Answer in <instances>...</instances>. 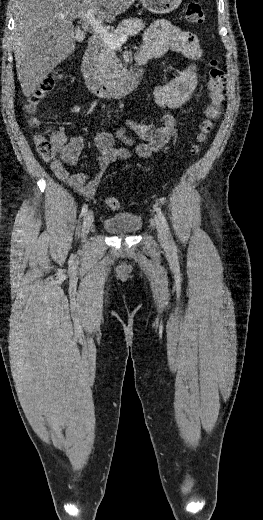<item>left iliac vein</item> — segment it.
I'll return each instance as SVG.
<instances>
[{
	"mask_svg": "<svg viewBox=\"0 0 263 520\" xmlns=\"http://www.w3.org/2000/svg\"><path fill=\"white\" fill-rule=\"evenodd\" d=\"M154 221H155V226H156V229H157V234H158V238H159L160 243L162 245H164V246L169 245L168 235H167V232H166L163 224L161 223V221L157 217L154 218Z\"/></svg>",
	"mask_w": 263,
	"mask_h": 520,
	"instance_id": "1",
	"label": "left iliac vein"
}]
</instances>
